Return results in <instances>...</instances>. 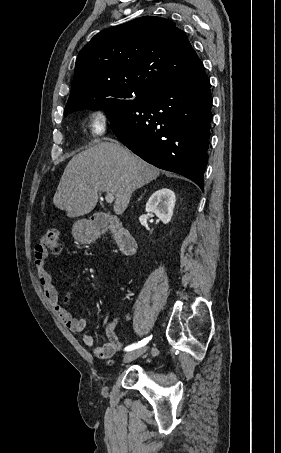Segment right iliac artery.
I'll use <instances>...</instances> for the list:
<instances>
[{
    "instance_id": "right-iliac-artery-1",
    "label": "right iliac artery",
    "mask_w": 281,
    "mask_h": 453,
    "mask_svg": "<svg viewBox=\"0 0 281 453\" xmlns=\"http://www.w3.org/2000/svg\"><path fill=\"white\" fill-rule=\"evenodd\" d=\"M151 338H152V335L147 338H144L143 340L139 341L138 343H135V344H132V345L126 347L125 351H132L134 349L145 346L149 342V340H151Z\"/></svg>"
}]
</instances>
